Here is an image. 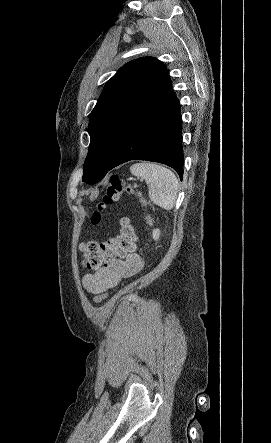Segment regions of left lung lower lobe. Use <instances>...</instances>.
Returning a JSON list of instances; mask_svg holds the SVG:
<instances>
[{"label": "left lung lower lobe", "instance_id": "0a47b994", "mask_svg": "<svg viewBox=\"0 0 271 443\" xmlns=\"http://www.w3.org/2000/svg\"><path fill=\"white\" fill-rule=\"evenodd\" d=\"M181 124L180 103L165 70L126 128L110 170L130 160H147L172 167L182 180Z\"/></svg>", "mask_w": 271, "mask_h": 443}]
</instances>
